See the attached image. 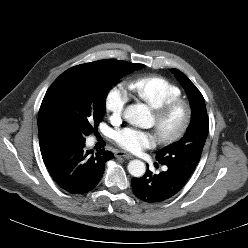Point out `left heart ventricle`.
<instances>
[{"label": "left heart ventricle", "instance_id": "obj_1", "mask_svg": "<svg viewBox=\"0 0 248 248\" xmlns=\"http://www.w3.org/2000/svg\"><path fill=\"white\" fill-rule=\"evenodd\" d=\"M184 111L182 108L175 110L160 126L158 133L171 134L182 124ZM153 125L156 126L155 118L153 117ZM156 128V127H155Z\"/></svg>", "mask_w": 248, "mask_h": 248}]
</instances>
